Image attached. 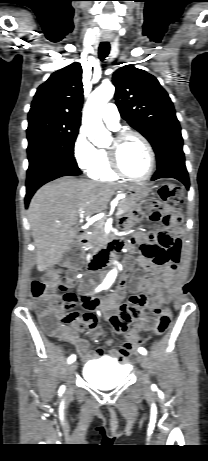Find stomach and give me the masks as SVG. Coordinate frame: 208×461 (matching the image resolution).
Returning <instances> with one entry per match:
<instances>
[{
    "label": "stomach",
    "mask_w": 208,
    "mask_h": 461,
    "mask_svg": "<svg viewBox=\"0 0 208 461\" xmlns=\"http://www.w3.org/2000/svg\"><path fill=\"white\" fill-rule=\"evenodd\" d=\"M150 188L144 184H134L128 188L129 198L139 201L148 196Z\"/></svg>",
    "instance_id": "obj_1"
}]
</instances>
